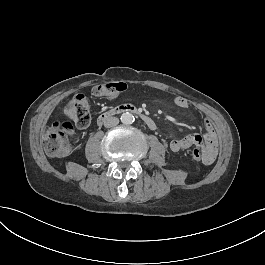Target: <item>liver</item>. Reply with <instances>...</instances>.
<instances>
[{
	"mask_svg": "<svg viewBox=\"0 0 265 265\" xmlns=\"http://www.w3.org/2000/svg\"><path fill=\"white\" fill-rule=\"evenodd\" d=\"M64 113H65V114H67V113H68V110H67V109H65V110H64Z\"/></svg>",
	"mask_w": 265,
	"mask_h": 265,
	"instance_id": "liver-1",
	"label": "liver"
}]
</instances>
